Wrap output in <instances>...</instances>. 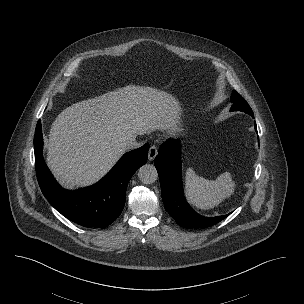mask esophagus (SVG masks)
<instances>
[{
	"label": "esophagus",
	"instance_id": "esophagus-1",
	"mask_svg": "<svg viewBox=\"0 0 304 304\" xmlns=\"http://www.w3.org/2000/svg\"><path fill=\"white\" fill-rule=\"evenodd\" d=\"M157 153H158L157 147L154 146V145H152L150 147L149 151H148V159L150 161L154 160V158L156 157Z\"/></svg>",
	"mask_w": 304,
	"mask_h": 304
}]
</instances>
